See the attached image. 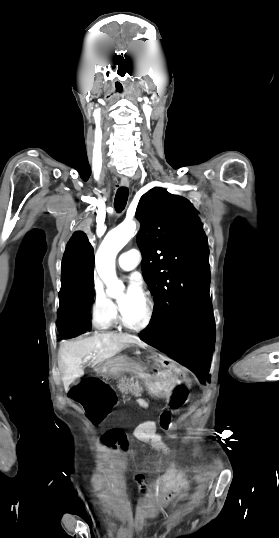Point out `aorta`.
Segmentation results:
<instances>
[{
	"instance_id": "762f6f07",
	"label": "aorta",
	"mask_w": 279,
	"mask_h": 538,
	"mask_svg": "<svg viewBox=\"0 0 279 538\" xmlns=\"http://www.w3.org/2000/svg\"><path fill=\"white\" fill-rule=\"evenodd\" d=\"M135 230L134 221L123 222L107 233L97 251L96 269L107 287L106 293L109 297L119 298L123 294L125 286L116 276L115 259L118 252L134 237Z\"/></svg>"
}]
</instances>
